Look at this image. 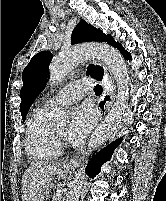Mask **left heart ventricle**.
<instances>
[{
	"instance_id": "obj_1",
	"label": "left heart ventricle",
	"mask_w": 166,
	"mask_h": 201,
	"mask_svg": "<svg viewBox=\"0 0 166 201\" xmlns=\"http://www.w3.org/2000/svg\"><path fill=\"white\" fill-rule=\"evenodd\" d=\"M68 124L67 123H62V124H59V125H56V129L66 137L67 135V131H68Z\"/></svg>"
}]
</instances>
